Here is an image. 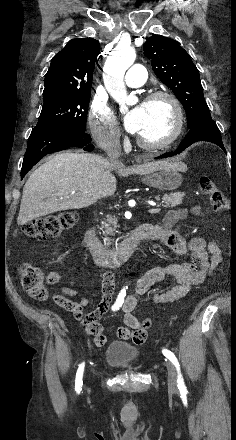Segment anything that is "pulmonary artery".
Here are the masks:
<instances>
[{
	"mask_svg": "<svg viewBox=\"0 0 236 440\" xmlns=\"http://www.w3.org/2000/svg\"><path fill=\"white\" fill-rule=\"evenodd\" d=\"M146 77V69L142 65L135 64L128 70L125 83L130 88L140 87L145 83Z\"/></svg>",
	"mask_w": 236,
	"mask_h": 440,
	"instance_id": "1",
	"label": "pulmonary artery"
}]
</instances>
